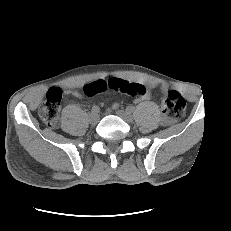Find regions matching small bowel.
I'll return each mask as SVG.
<instances>
[{
  "mask_svg": "<svg viewBox=\"0 0 231 231\" xmlns=\"http://www.w3.org/2000/svg\"><path fill=\"white\" fill-rule=\"evenodd\" d=\"M138 84H140L142 87L145 88V92H144V94L137 96L136 97L137 100L140 101V100H146V99H148L150 97L149 88L153 87L154 84L151 83V82H147L145 84H141V83H138ZM70 94L73 95V96H75V97H80L81 96V94L78 91H76V90L70 91ZM114 106H116V105H114ZM163 123L165 125L171 124L172 123V119L170 117L165 116L163 118Z\"/></svg>",
  "mask_w": 231,
  "mask_h": 231,
  "instance_id": "obj_1",
  "label": "small bowel"
}]
</instances>
